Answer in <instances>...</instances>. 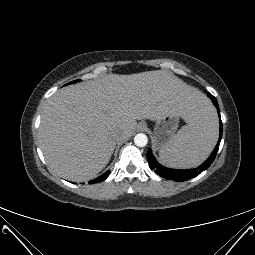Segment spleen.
I'll use <instances>...</instances> for the list:
<instances>
[{
  "label": "spleen",
  "instance_id": "3e777b00",
  "mask_svg": "<svg viewBox=\"0 0 255 255\" xmlns=\"http://www.w3.org/2000/svg\"><path fill=\"white\" fill-rule=\"evenodd\" d=\"M218 138V118L208 100H201L194 117L159 150L161 162L172 168L201 164Z\"/></svg>",
  "mask_w": 255,
  "mask_h": 255
}]
</instances>
